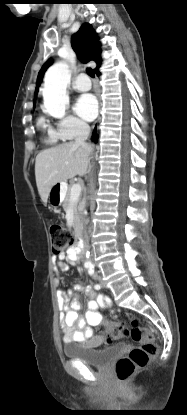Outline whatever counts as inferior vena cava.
Here are the masks:
<instances>
[{"instance_id": "602c4592", "label": "inferior vena cava", "mask_w": 187, "mask_h": 415, "mask_svg": "<svg viewBox=\"0 0 187 415\" xmlns=\"http://www.w3.org/2000/svg\"><path fill=\"white\" fill-rule=\"evenodd\" d=\"M90 134V127L88 124L84 122H80L77 127V136L75 138V144L82 146L86 151H91V146L86 143V140L88 139V136ZM83 204H85V201H83ZM81 220L84 226L83 229V243H84V250L82 251V254L86 251L88 248L89 243V236L86 230V224L87 221L85 220L83 214L81 213Z\"/></svg>"}]
</instances>
